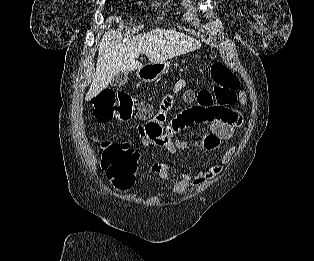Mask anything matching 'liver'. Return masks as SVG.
<instances>
[{
	"label": "liver",
	"mask_w": 314,
	"mask_h": 261,
	"mask_svg": "<svg viewBox=\"0 0 314 261\" xmlns=\"http://www.w3.org/2000/svg\"><path fill=\"white\" fill-rule=\"evenodd\" d=\"M112 21L114 18H110L109 23ZM200 46L192 37L170 29L156 28L131 39L123 38L120 32L108 31L99 44L96 72L85 100H91L106 89L119 72L142 68V63L137 61L140 54H145L151 63H158L195 51Z\"/></svg>",
	"instance_id": "liver-1"
}]
</instances>
